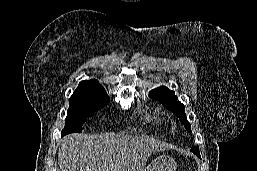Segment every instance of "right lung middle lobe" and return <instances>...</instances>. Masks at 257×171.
<instances>
[{
  "label": "right lung middle lobe",
  "mask_w": 257,
  "mask_h": 171,
  "mask_svg": "<svg viewBox=\"0 0 257 171\" xmlns=\"http://www.w3.org/2000/svg\"><path fill=\"white\" fill-rule=\"evenodd\" d=\"M65 127L62 136L73 132H82L86 119L94 112L106 106L110 99L106 92L75 90L70 97Z\"/></svg>",
  "instance_id": "1"
}]
</instances>
